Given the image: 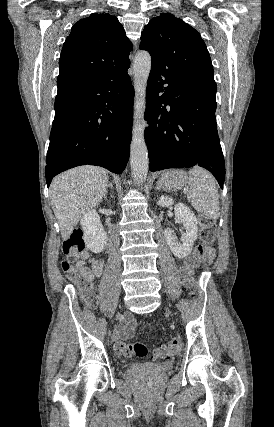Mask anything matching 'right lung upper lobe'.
<instances>
[{
  "instance_id": "obj_1",
  "label": "right lung upper lobe",
  "mask_w": 274,
  "mask_h": 427,
  "mask_svg": "<svg viewBox=\"0 0 274 427\" xmlns=\"http://www.w3.org/2000/svg\"><path fill=\"white\" fill-rule=\"evenodd\" d=\"M131 49L115 16L93 13L79 20L61 51L55 100L93 87L129 67Z\"/></svg>"
}]
</instances>
